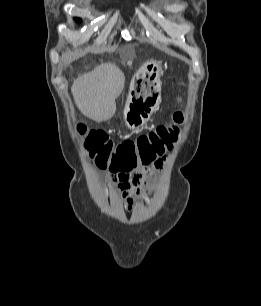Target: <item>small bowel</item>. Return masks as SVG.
Returning <instances> with one entry per match:
<instances>
[{
  "mask_svg": "<svg viewBox=\"0 0 261 306\" xmlns=\"http://www.w3.org/2000/svg\"><path fill=\"white\" fill-rule=\"evenodd\" d=\"M167 158H159L147 167H138L131 171H112L110 174L111 189L115 190L127 210H131L137 200H145L155 190L154 173L163 167Z\"/></svg>",
  "mask_w": 261,
  "mask_h": 306,
  "instance_id": "1",
  "label": "small bowel"
}]
</instances>
